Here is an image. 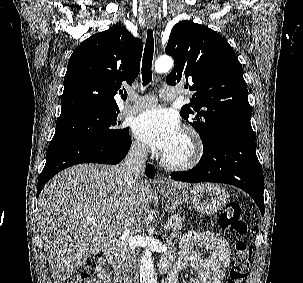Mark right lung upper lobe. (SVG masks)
<instances>
[{"instance_id":"cb5924a9","label":"right lung upper lobe","mask_w":303,"mask_h":283,"mask_svg":"<svg viewBox=\"0 0 303 283\" xmlns=\"http://www.w3.org/2000/svg\"><path fill=\"white\" fill-rule=\"evenodd\" d=\"M143 43L122 26H113L83 41L72 53L64 77L60 116L97 110L119 111L116 95L140 71Z\"/></svg>"}]
</instances>
